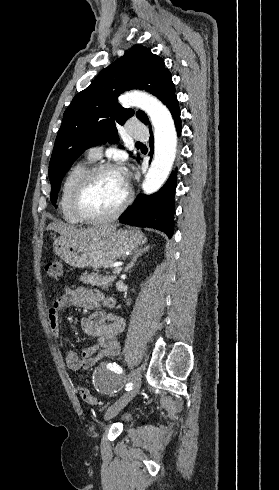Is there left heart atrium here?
Masks as SVG:
<instances>
[{
    "mask_svg": "<svg viewBox=\"0 0 279 490\" xmlns=\"http://www.w3.org/2000/svg\"><path fill=\"white\" fill-rule=\"evenodd\" d=\"M122 181H123L124 186L127 188L128 178H127V173H125V172L122 173Z\"/></svg>",
    "mask_w": 279,
    "mask_h": 490,
    "instance_id": "left-heart-atrium-1",
    "label": "left heart atrium"
}]
</instances>
